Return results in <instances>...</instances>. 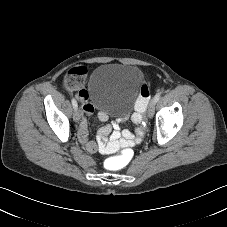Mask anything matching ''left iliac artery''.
Segmentation results:
<instances>
[{
	"label": "left iliac artery",
	"instance_id": "obj_1",
	"mask_svg": "<svg viewBox=\"0 0 227 227\" xmlns=\"http://www.w3.org/2000/svg\"><path fill=\"white\" fill-rule=\"evenodd\" d=\"M160 97L161 93H157L153 99L157 102L160 99Z\"/></svg>",
	"mask_w": 227,
	"mask_h": 227
}]
</instances>
